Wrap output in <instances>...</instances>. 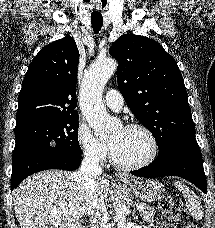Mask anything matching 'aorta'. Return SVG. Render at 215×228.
I'll use <instances>...</instances> for the list:
<instances>
[{"instance_id":"762f6f07","label":"aorta","mask_w":215,"mask_h":228,"mask_svg":"<svg viewBox=\"0 0 215 228\" xmlns=\"http://www.w3.org/2000/svg\"><path fill=\"white\" fill-rule=\"evenodd\" d=\"M116 60H98L92 64L89 74L81 86V110L93 132L97 136H105L112 130L111 118H109L102 102V90L117 70ZM125 200H118L115 214L118 220L117 228H126Z\"/></svg>"}]
</instances>
